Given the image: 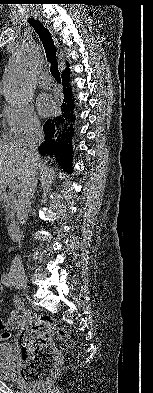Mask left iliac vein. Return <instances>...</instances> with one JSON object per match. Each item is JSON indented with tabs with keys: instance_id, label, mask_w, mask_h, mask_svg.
<instances>
[{
	"instance_id": "left-iliac-vein-1",
	"label": "left iliac vein",
	"mask_w": 153,
	"mask_h": 393,
	"mask_svg": "<svg viewBox=\"0 0 153 393\" xmlns=\"http://www.w3.org/2000/svg\"><path fill=\"white\" fill-rule=\"evenodd\" d=\"M14 286L17 287V288L20 287L17 283H14Z\"/></svg>"
}]
</instances>
